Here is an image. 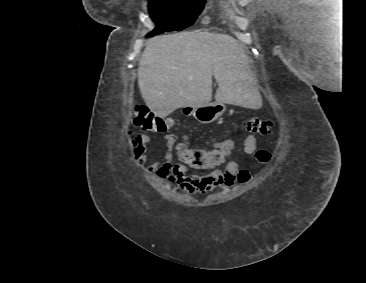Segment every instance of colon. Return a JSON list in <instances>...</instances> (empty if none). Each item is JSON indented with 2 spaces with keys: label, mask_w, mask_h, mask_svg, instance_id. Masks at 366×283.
Here are the masks:
<instances>
[{
  "label": "colon",
  "mask_w": 366,
  "mask_h": 283,
  "mask_svg": "<svg viewBox=\"0 0 366 283\" xmlns=\"http://www.w3.org/2000/svg\"><path fill=\"white\" fill-rule=\"evenodd\" d=\"M133 123L142 131L162 133L171 126V120L163 119L155 115L148 107L144 105H136L133 110ZM245 128L250 133L269 135L273 130V122L267 119L252 117L245 123ZM225 153H228L232 147V143L225 141L219 144ZM179 157L188 166L194 169H204L216 162L211 151L189 150L185 144L179 145ZM254 159L259 163H267L271 159V154L266 150H258L254 154ZM250 179V173L247 170H241L238 180L246 183Z\"/></svg>",
  "instance_id": "obj_1"
}]
</instances>
